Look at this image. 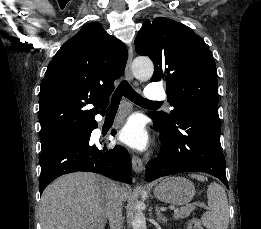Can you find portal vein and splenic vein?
Segmentation results:
<instances>
[{"label":"portal vein and splenic vein","instance_id":"1","mask_svg":"<svg viewBox=\"0 0 261 229\" xmlns=\"http://www.w3.org/2000/svg\"><path fill=\"white\" fill-rule=\"evenodd\" d=\"M188 208H206L208 207V204L206 203H188ZM187 207H181L180 209H177L175 213L182 214L185 210H187Z\"/></svg>","mask_w":261,"mask_h":229}]
</instances>
